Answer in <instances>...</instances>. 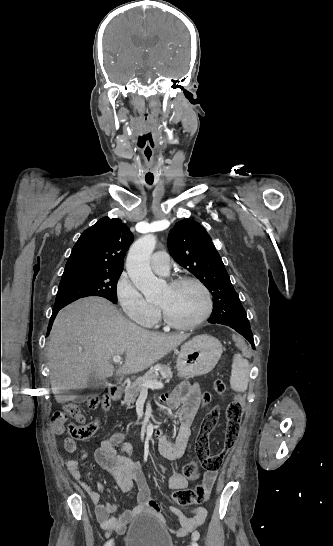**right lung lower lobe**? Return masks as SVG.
Here are the masks:
<instances>
[{
	"mask_svg": "<svg viewBox=\"0 0 333 546\" xmlns=\"http://www.w3.org/2000/svg\"><path fill=\"white\" fill-rule=\"evenodd\" d=\"M59 310H60V309H57V310H53V313H52L51 319H50V321H49V327H48V331H50V330H51V326H52V323H53V321H54V319H55V317H56V315H57V313H58V311H59Z\"/></svg>",
	"mask_w": 333,
	"mask_h": 546,
	"instance_id": "1",
	"label": "right lung lower lobe"
}]
</instances>
